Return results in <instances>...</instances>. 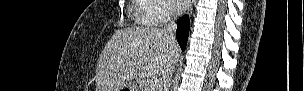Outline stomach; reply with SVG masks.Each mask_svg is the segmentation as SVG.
<instances>
[{
    "label": "stomach",
    "instance_id": "obj_1",
    "mask_svg": "<svg viewBox=\"0 0 304 91\" xmlns=\"http://www.w3.org/2000/svg\"><path fill=\"white\" fill-rule=\"evenodd\" d=\"M121 90L136 91L134 88H132L130 86H125Z\"/></svg>",
    "mask_w": 304,
    "mask_h": 91
}]
</instances>
